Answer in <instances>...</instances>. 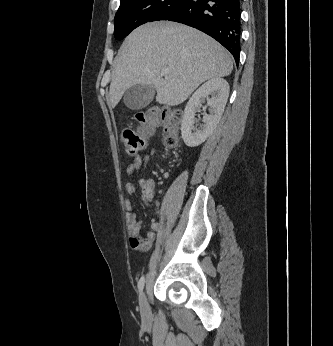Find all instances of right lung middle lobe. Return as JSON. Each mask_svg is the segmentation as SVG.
Returning a JSON list of instances; mask_svg holds the SVG:
<instances>
[{
	"label": "right lung middle lobe",
	"instance_id": "right-lung-middle-lobe-1",
	"mask_svg": "<svg viewBox=\"0 0 333 346\" xmlns=\"http://www.w3.org/2000/svg\"><path fill=\"white\" fill-rule=\"evenodd\" d=\"M184 0H121L115 15L114 36L125 38L136 27L167 19Z\"/></svg>",
	"mask_w": 333,
	"mask_h": 346
}]
</instances>
